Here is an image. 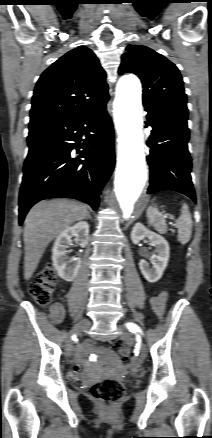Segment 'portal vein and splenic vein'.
Segmentation results:
<instances>
[{"instance_id":"portal-vein-and-splenic-vein-1","label":"portal vein and splenic vein","mask_w":212,"mask_h":438,"mask_svg":"<svg viewBox=\"0 0 212 438\" xmlns=\"http://www.w3.org/2000/svg\"><path fill=\"white\" fill-rule=\"evenodd\" d=\"M171 219L173 220V217H172ZM170 224H171V225H173V223H172V222H170Z\"/></svg>"}]
</instances>
